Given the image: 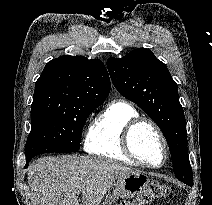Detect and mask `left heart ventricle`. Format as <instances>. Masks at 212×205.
Returning <instances> with one entry per match:
<instances>
[{"instance_id":"1","label":"left heart ventricle","mask_w":212,"mask_h":205,"mask_svg":"<svg viewBox=\"0 0 212 205\" xmlns=\"http://www.w3.org/2000/svg\"><path fill=\"white\" fill-rule=\"evenodd\" d=\"M133 148L140 159L158 164L163 158V148L155 131L148 125L138 127L132 137Z\"/></svg>"}]
</instances>
